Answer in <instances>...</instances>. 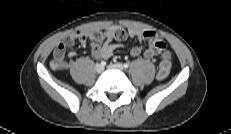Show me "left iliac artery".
I'll use <instances>...</instances> for the list:
<instances>
[{
  "label": "left iliac artery",
  "instance_id": "1",
  "mask_svg": "<svg viewBox=\"0 0 231 134\" xmlns=\"http://www.w3.org/2000/svg\"><path fill=\"white\" fill-rule=\"evenodd\" d=\"M129 67V64L128 63H125L124 64V68H128Z\"/></svg>",
  "mask_w": 231,
  "mask_h": 134
}]
</instances>
